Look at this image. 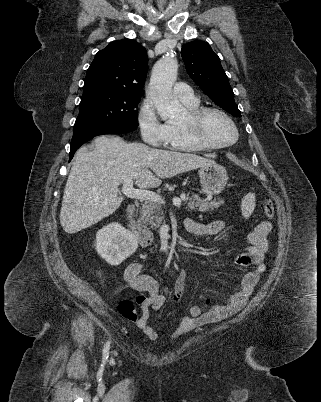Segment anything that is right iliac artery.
Listing matches in <instances>:
<instances>
[{
    "label": "right iliac artery",
    "mask_w": 321,
    "mask_h": 402,
    "mask_svg": "<svg viewBox=\"0 0 321 402\" xmlns=\"http://www.w3.org/2000/svg\"><path fill=\"white\" fill-rule=\"evenodd\" d=\"M109 348H110V341L106 342V344L103 348V359H105V360L108 358Z\"/></svg>",
    "instance_id": "obj_1"
}]
</instances>
